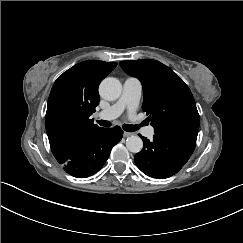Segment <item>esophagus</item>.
Returning a JSON list of instances; mask_svg holds the SVG:
<instances>
[{
	"label": "esophagus",
	"mask_w": 243,
	"mask_h": 243,
	"mask_svg": "<svg viewBox=\"0 0 243 243\" xmlns=\"http://www.w3.org/2000/svg\"><path fill=\"white\" fill-rule=\"evenodd\" d=\"M132 135H133L132 132H124V133H123V137H125V138L130 137V136H132Z\"/></svg>",
	"instance_id": "1"
}]
</instances>
